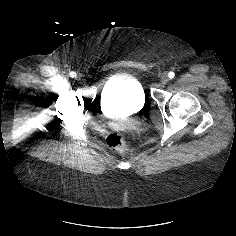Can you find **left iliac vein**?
I'll use <instances>...</instances> for the list:
<instances>
[{
	"label": "left iliac vein",
	"mask_w": 236,
	"mask_h": 236,
	"mask_svg": "<svg viewBox=\"0 0 236 236\" xmlns=\"http://www.w3.org/2000/svg\"><path fill=\"white\" fill-rule=\"evenodd\" d=\"M168 81H169V77H168L167 74L164 73V74L161 76V83H162V84H166V83H168Z\"/></svg>",
	"instance_id": "obj_1"
}]
</instances>
